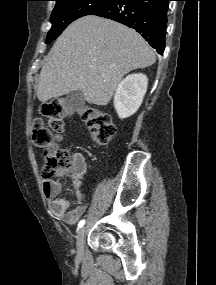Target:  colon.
I'll use <instances>...</instances> for the list:
<instances>
[{"mask_svg": "<svg viewBox=\"0 0 216 285\" xmlns=\"http://www.w3.org/2000/svg\"><path fill=\"white\" fill-rule=\"evenodd\" d=\"M41 118H36L32 126V139L35 145L47 148L54 141L60 140L63 131V120L70 114L61 99H53L43 104ZM81 116L85 121L93 141L97 145L108 144L115 135L116 129L110 116L94 107H85L81 110ZM72 167V159L65 149L58 150L48 157L47 175L65 174Z\"/></svg>", "mask_w": 216, "mask_h": 285, "instance_id": "colon-1", "label": "colon"}]
</instances>
